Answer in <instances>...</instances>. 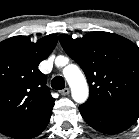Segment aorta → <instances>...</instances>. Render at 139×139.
Masks as SVG:
<instances>
[{
  "instance_id": "1",
  "label": "aorta",
  "mask_w": 139,
  "mask_h": 139,
  "mask_svg": "<svg viewBox=\"0 0 139 139\" xmlns=\"http://www.w3.org/2000/svg\"><path fill=\"white\" fill-rule=\"evenodd\" d=\"M63 75L71 88V95L75 102L82 104L89 96V88L84 74L74 64H69L63 69Z\"/></svg>"
}]
</instances>
